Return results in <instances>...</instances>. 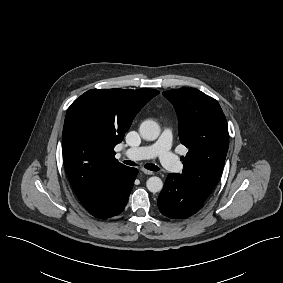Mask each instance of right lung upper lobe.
Segmentation results:
<instances>
[{
  "label": "right lung upper lobe",
  "mask_w": 283,
  "mask_h": 283,
  "mask_svg": "<svg viewBox=\"0 0 283 283\" xmlns=\"http://www.w3.org/2000/svg\"><path fill=\"white\" fill-rule=\"evenodd\" d=\"M159 91L92 89L68 108L62 134L65 170L85 208L96 201L103 183L127 166L114 156L136 114Z\"/></svg>",
  "instance_id": "1"
}]
</instances>
